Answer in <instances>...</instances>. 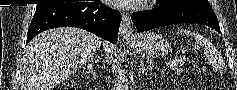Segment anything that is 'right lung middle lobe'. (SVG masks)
Returning <instances> with one entry per match:
<instances>
[{"label": "right lung middle lobe", "instance_id": "obj_1", "mask_svg": "<svg viewBox=\"0 0 237 90\" xmlns=\"http://www.w3.org/2000/svg\"><path fill=\"white\" fill-rule=\"evenodd\" d=\"M40 5H43V4H38L37 6H40Z\"/></svg>", "mask_w": 237, "mask_h": 90}]
</instances>
